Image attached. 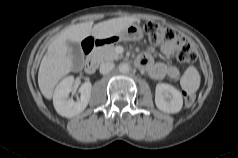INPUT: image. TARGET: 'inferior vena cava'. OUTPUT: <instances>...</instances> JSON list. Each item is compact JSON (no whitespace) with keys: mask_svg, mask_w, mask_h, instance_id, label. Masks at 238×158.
Returning a JSON list of instances; mask_svg holds the SVG:
<instances>
[{"mask_svg":"<svg viewBox=\"0 0 238 158\" xmlns=\"http://www.w3.org/2000/svg\"><path fill=\"white\" fill-rule=\"evenodd\" d=\"M114 68L113 62H105L100 65V73L108 74Z\"/></svg>","mask_w":238,"mask_h":158,"instance_id":"inferior-vena-cava-1","label":"inferior vena cava"}]
</instances>
